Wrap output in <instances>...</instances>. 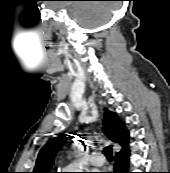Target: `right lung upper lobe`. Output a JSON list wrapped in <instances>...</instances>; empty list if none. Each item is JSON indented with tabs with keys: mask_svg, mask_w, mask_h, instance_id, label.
<instances>
[{
	"mask_svg": "<svg viewBox=\"0 0 170 173\" xmlns=\"http://www.w3.org/2000/svg\"><path fill=\"white\" fill-rule=\"evenodd\" d=\"M104 134L113 142L119 143L123 148L128 146L129 133L116 113L105 110ZM67 135L60 134L48 142L40 151L33 173H51L50 168L54 162L56 153L65 143Z\"/></svg>",
	"mask_w": 170,
	"mask_h": 173,
	"instance_id": "cb5924a9",
	"label": "right lung upper lobe"
}]
</instances>
